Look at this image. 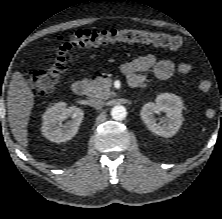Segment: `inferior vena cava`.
<instances>
[{
	"mask_svg": "<svg viewBox=\"0 0 222 219\" xmlns=\"http://www.w3.org/2000/svg\"><path fill=\"white\" fill-rule=\"evenodd\" d=\"M88 104L96 109H100L103 107L104 102L100 99H96V98H90L88 100Z\"/></svg>",
	"mask_w": 222,
	"mask_h": 219,
	"instance_id": "1",
	"label": "inferior vena cava"
}]
</instances>
